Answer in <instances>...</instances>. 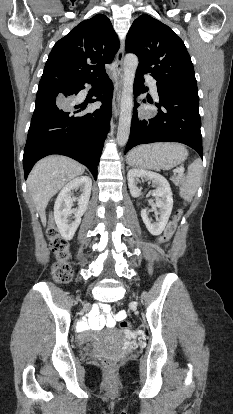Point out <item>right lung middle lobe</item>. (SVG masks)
Masks as SVG:
<instances>
[{"mask_svg": "<svg viewBox=\"0 0 233 414\" xmlns=\"http://www.w3.org/2000/svg\"><path fill=\"white\" fill-rule=\"evenodd\" d=\"M74 84H76V82L74 81L48 79V80H40L38 88L40 89L44 87H57V88L66 89V88L71 87Z\"/></svg>", "mask_w": 233, "mask_h": 414, "instance_id": "1", "label": "right lung middle lobe"}]
</instances>
